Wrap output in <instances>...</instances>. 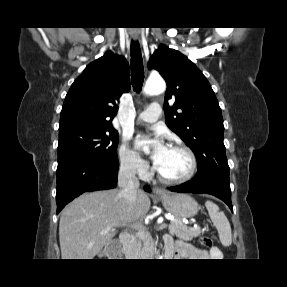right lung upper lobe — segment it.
Wrapping results in <instances>:
<instances>
[{
    "label": "right lung upper lobe",
    "mask_w": 287,
    "mask_h": 287,
    "mask_svg": "<svg viewBox=\"0 0 287 287\" xmlns=\"http://www.w3.org/2000/svg\"><path fill=\"white\" fill-rule=\"evenodd\" d=\"M130 86L127 60L106 52L73 82L62 107L59 129L76 123L113 127L117 102Z\"/></svg>",
    "instance_id": "cb5924a9"
}]
</instances>
